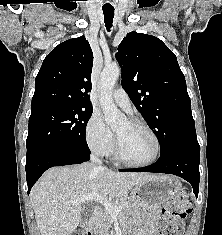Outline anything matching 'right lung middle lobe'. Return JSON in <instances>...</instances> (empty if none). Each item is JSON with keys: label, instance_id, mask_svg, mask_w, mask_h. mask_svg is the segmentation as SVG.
<instances>
[{"label": "right lung middle lobe", "instance_id": "dd1d6c3e", "mask_svg": "<svg viewBox=\"0 0 222 235\" xmlns=\"http://www.w3.org/2000/svg\"><path fill=\"white\" fill-rule=\"evenodd\" d=\"M92 112L93 109L88 108L54 105L31 114L26 162L58 149L90 152L85 132Z\"/></svg>", "mask_w": 222, "mask_h": 235}]
</instances>
